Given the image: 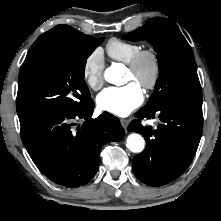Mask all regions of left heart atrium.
Segmentation results:
<instances>
[{
	"instance_id": "1",
	"label": "left heart atrium",
	"mask_w": 221,
	"mask_h": 221,
	"mask_svg": "<svg viewBox=\"0 0 221 221\" xmlns=\"http://www.w3.org/2000/svg\"><path fill=\"white\" fill-rule=\"evenodd\" d=\"M144 94L137 82H130L120 87L105 88L97 96L100 110L117 115L127 116L143 102Z\"/></svg>"
}]
</instances>
